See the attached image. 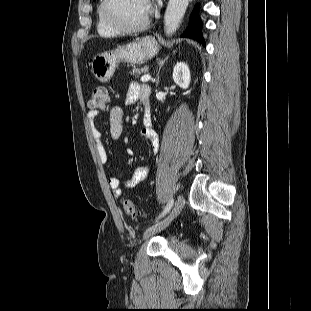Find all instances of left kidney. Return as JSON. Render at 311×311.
<instances>
[{"label": "left kidney", "instance_id": "5707ae66", "mask_svg": "<svg viewBox=\"0 0 311 311\" xmlns=\"http://www.w3.org/2000/svg\"><path fill=\"white\" fill-rule=\"evenodd\" d=\"M173 80L182 89H187L191 76L190 70L187 64L184 62H178L173 69Z\"/></svg>", "mask_w": 311, "mask_h": 311}]
</instances>
